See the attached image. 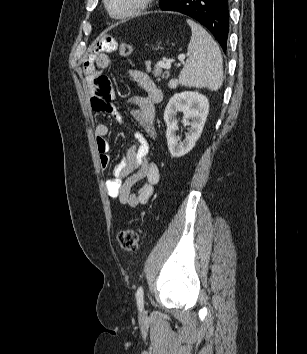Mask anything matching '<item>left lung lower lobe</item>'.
<instances>
[{
    "label": "left lung lower lobe",
    "mask_w": 307,
    "mask_h": 354,
    "mask_svg": "<svg viewBox=\"0 0 307 354\" xmlns=\"http://www.w3.org/2000/svg\"><path fill=\"white\" fill-rule=\"evenodd\" d=\"M162 10L181 12L196 19L214 35L223 51H226L229 0H170Z\"/></svg>",
    "instance_id": "1"
}]
</instances>
